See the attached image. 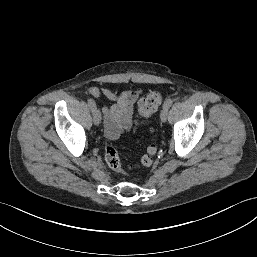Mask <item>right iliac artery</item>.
Wrapping results in <instances>:
<instances>
[{
  "instance_id": "1",
  "label": "right iliac artery",
  "mask_w": 257,
  "mask_h": 257,
  "mask_svg": "<svg viewBox=\"0 0 257 257\" xmlns=\"http://www.w3.org/2000/svg\"><path fill=\"white\" fill-rule=\"evenodd\" d=\"M88 105L92 112L96 109V103L94 102V100L88 99Z\"/></svg>"
}]
</instances>
